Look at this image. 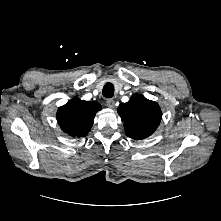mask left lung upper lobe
Instances as JSON below:
<instances>
[{"label": "left lung upper lobe", "instance_id": "left-lung-upper-lobe-1", "mask_svg": "<svg viewBox=\"0 0 221 221\" xmlns=\"http://www.w3.org/2000/svg\"><path fill=\"white\" fill-rule=\"evenodd\" d=\"M117 111L124 122L126 135L137 140L149 137L162 117L159 105L140 94H134L127 103H121Z\"/></svg>", "mask_w": 221, "mask_h": 221}]
</instances>
